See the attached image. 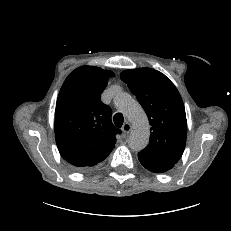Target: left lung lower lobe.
<instances>
[{"label": "left lung lower lobe", "instance_id": "left-lung-lower-lobe-1", "mask_svg": "<svg viewBox=\"0 0 231 231\" xmlns=\"http://www.w3.org/2000/svg\"><path fill=\"white\" fill-rule=\"evenodd\" d=\"M138 158L141 164L149 171L154 173H162L171 169L174 164L163 163L158 161L150 160L138 153Z\"/></svg>", "mask_w": 231, "mask_h": 231}]
</instances>
